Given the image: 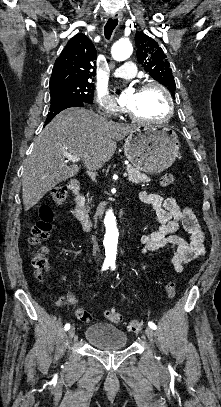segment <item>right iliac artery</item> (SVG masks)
<instances>
[{"label":"right iliac artery","instance_id":"obj_1","mask_svg":"<svg viewBox=\"0 0 221 407\" xmlns=\"http://www.w3.org/2000/svg\"><path fill=\"white\" fill-rule=\"evenodd\" d=\"M108 267H109V264H103V266H102V271L108 269ZM64 329H65L66 331L69 330V329H70V324H66L65 327H64Z\"/></svg>","mask_w":221,"mask_h":407}]
</instances>
